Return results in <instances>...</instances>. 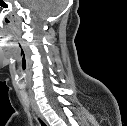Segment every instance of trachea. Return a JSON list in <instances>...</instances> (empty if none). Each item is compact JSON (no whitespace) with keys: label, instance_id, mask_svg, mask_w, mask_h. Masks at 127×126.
Segmentation results:
<instances>
[{"label":"trachea","instance_id":"3493384b","mask_svg":"<svg viewBox=\"0 0 127 126\" xmlns=\"http://www.w3.org/2000/svg\"><path fill=\"white\" fill-rule=\"evenodd\" d=\"M42 123V125L44 126V123L42 121H40Z\"/></svg>","mask_w":127,"mask_h":126}]
</instances>
